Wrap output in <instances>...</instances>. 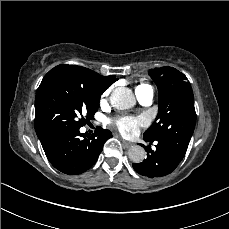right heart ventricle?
I'll list each match as a JSON object with an SVG mask.
<instances>
[{
  "mask_svg": "<svg viewBox=\"0 0 229 229\" xmlns=\"http://www.w3.org/2000/svg\"><path fill=\"white\" fill-rule=\"evenodd\" d=\"M149 85H147V84H145V83H141V84H139L137 87H136V90H138V89H142V88H146V87H148Z\"/></svg>",
  "mask_w": 229,
  "mask_h": 229,
  "instance_id": "obj_1",
  "label": "right heart ventricle"
}]
</instances>
